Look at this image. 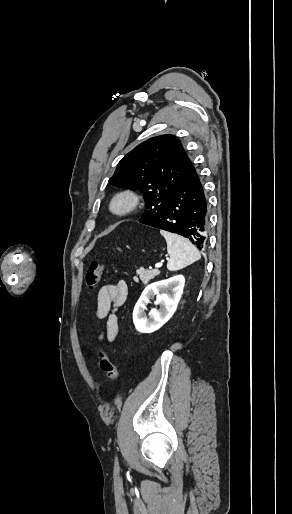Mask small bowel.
Wrapping results in <instances>:
<instances>
[{
    "instance_id": "small-bowel-1",
    "label": "small bowel",
    "mask_w": 292,
    "mask_h": 514,
    "mask_svg": "<svg viewBox=\"0 0 292 514\" xmlns=\"http://www.w3.org/2000/svg\"><path fill=\"white\" fill-rule=\"evenodd\" d=\"M127 284L120 280L104 284L97 296L96 318L105 320V328L99 334V341H113L119 330L117 311L123 306L127 296Z\"/></svg>"
}]
</instances>
